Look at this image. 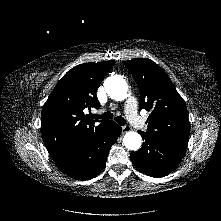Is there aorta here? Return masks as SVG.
I'll use <instances>...</instances> for the list:
<instances>
[{
	"label": "aorta",
	"mask_w": 221,
	"mask_h": 221,
	"mask_svg": "<svg viewBox=\"0 0 221 221\" xmlns=\"http://www.w3.org/2000/svg\"><path fill=\"white\" fill-rule=\"evenodd\" d=\"M104 87L108 96L113 100L122 101L127 96L128 85L122 76L108 77L104 81ZM123 143L127 149L136 151L141 147L142 138L139 133L129 131L125 134Z\"/></svg>",
	"instance_id": "762f6f07"
}]
</instances>
